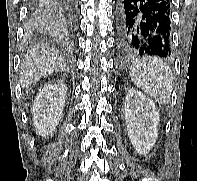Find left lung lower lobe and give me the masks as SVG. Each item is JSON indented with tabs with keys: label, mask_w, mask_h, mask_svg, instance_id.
I'll return each mask as SVG.
<instances>
[{
	"label": "left lung lower lobe",
	"mask_w": 197,
	"mask_h": 181,
	"mask_svg": "<svg viewBox=\"0 0 197 181\" xmlns=\"http://www.w3.org/2000/svg\"><path fill=\"white\" fill-rule=\"evenodd\" d=\"M170 0H119L116 48L120 57L171 54Z\"/></svg>",
	"instance_id": "0a47b994"
}]
</instances>
